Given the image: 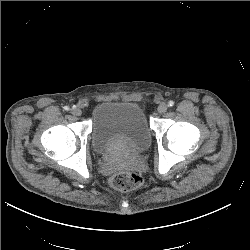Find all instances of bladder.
Returning a JSON list of instances; mask_svg holds the SVG:
<instances>
[{"label": "bladder", "mask_w": 250, "mask_h": 250, "mask_svg": "<svg viewBox=\"0 0 250 250\" xmlns=\"http://www.w3.org/2000/svg\"><path fill=\"white\" fill-rule=\"evenodd\" d=\"M91 145L98 154L139 153L152 141L145 113L135 103L104 101L92 112Z\"/></svg>", "instance_id": "bladder-1"}]
</instances>
